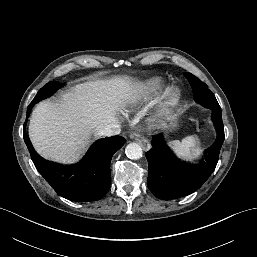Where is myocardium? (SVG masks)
<instances>
[{"label": "myocardium", "mask_w": 257, "mask_h": 257, "mask_svg": "<svg viewBox=\"0 0 257 257\" xmlns=\"http://www.w3.org/2000/svg\"><path fill=\"white\" fill-rule=\"evenodd\" d=\"M180 91L177 88H170L164 95L163 103L165 107H173L180 100Z\"/></svg>", "instance_id": "myocardium-1"}]
</instances>
